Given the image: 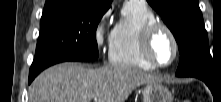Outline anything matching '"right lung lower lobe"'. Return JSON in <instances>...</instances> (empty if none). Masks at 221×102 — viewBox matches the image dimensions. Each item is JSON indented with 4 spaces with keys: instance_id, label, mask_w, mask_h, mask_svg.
Returning <instances> with one entry per match:
<instances>
[{
    "instance_id": "98d812e1",
    "label": "right lung lower lobe",
    "mask_w": 221,
    "mask_h": 102,
    "mask_svg": "<svg viewBox=\"0 0 221 102\" xmlns=\"http://www.w3.org/2000/svg\"><path fill=\"white\" fill-rule=\"evenodd\" d=\"M36 76L37 75H29V83H31Z\"/></svg>"
}]
</instances>
